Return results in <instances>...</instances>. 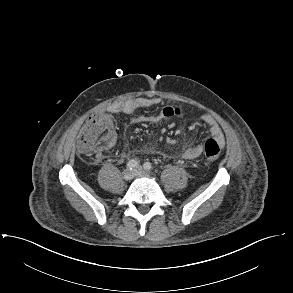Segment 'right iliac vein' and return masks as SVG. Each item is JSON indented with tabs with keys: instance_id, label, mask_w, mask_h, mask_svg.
Listing matches in <instances>:
<instances>
[{
	"instance_id": "obj_1",
	"label": "right iliac vein",
	"mask_w": 293,
	"mask_h": 293,
	"mask_svg": "<svg viewBox=\"0 0 293 293\" xmlns=\"http://www.w3.org/2000/svg\"><path fill=\"white\" fill-rule=\"evenodd\" d=\"M134 177V172L130 169H126L124 172H123V179L126 180V181H129L131 180L132 178Z\"/></svg>"
}]
</instances>
